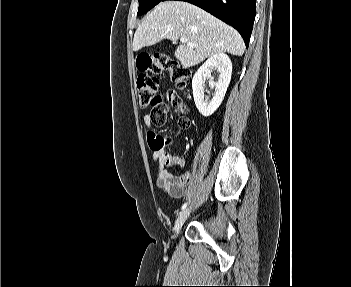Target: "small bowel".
Here are the masks:
<instances>
[{"label":"small bowel","instance_id":"small-bowel-1","mask_svg":"<svg viewBox=\"0 0 351 287\" xmlns=\"http://www.w3.org/2000/svg\"><path fill=\"white\" fill-rule=\"evenodd\" d=\"M143 122L147 132L145 141L148 142V147L153 152V161L157 164V185L166 190L171 197L180 198L184 193L182 182L174 172L165 167L175 166L182 169L185 166V160L165 151L172 137L161 136L160 132H153L152 117L149 114L143 116Z\"/></svg>","mask_w":351,"mask_h":287}]
</instances>
